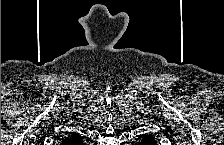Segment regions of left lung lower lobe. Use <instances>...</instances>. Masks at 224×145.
<instances>
[{"label":"left lung lower lobe","mask_w":224,"mask_h":145,"mask_svg":"<svg viewBox=\"0 0 224 145\" xmlns=\"http://www.w3.org/2000/svg\"><path fill=\"white\" fill-rule=\"evenodd\" d=\"M141 145H155V141L152 138L145 137L141 142Z\"/></svg>","instance_id":"obj_1"}]
</instances>
